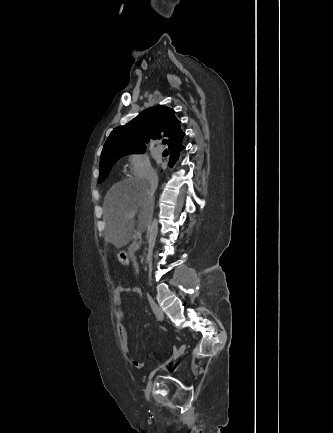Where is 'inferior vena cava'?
Listing matches in <instances>:
<instances>
[{
    "mask_svg": "<svg viewBox=\"0 0 333 433\" xmlns=\"http://www.w3.org/2000/svg\"><path fill=\"white\" fill-rule=\"evenodd\" d=\"M147 180L150 184V195L153 198L154 193L158 187V176L156 172L155 171L149 172L147 176ZM152 310L158 321H162L164 319V314L157 305H152Z\"/></svg>",
    "mask_w": 333,
    "mask_h": 433,
    "instance_id": "602c4592",
    "label": "inferior vena cava"
}]
</instances>
